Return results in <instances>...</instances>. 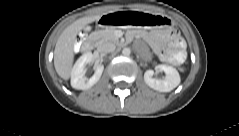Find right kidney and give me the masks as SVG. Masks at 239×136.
Listing matches in <instances>:
<instances>
[{
	"instance_id": "obj_1",
	"label": "right kidney",
	"mask_w": 239,
	"mask_h": 136,
	"mask_svg": "<svg viewBox=\"0 0 239 136\" xmlns=\"http://www.w3.org/2000/svg\"><path fill=\"white\" fill-rule=\"evenodd\" d=\"M94 56L91 52L84 53L74 64L71 71V86L78 90H87L96 84L104 70L103 65H97L95 73L91 78L85 76L86 64L93 62Z\"/></svg>"
}]
</instances>
